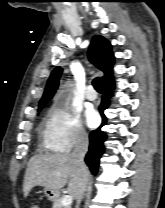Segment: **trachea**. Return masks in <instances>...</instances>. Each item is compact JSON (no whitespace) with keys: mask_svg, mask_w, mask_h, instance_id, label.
Here are the masks:
<instances>
[{"mask_svg":"<svg viewBox=\"0 0 165 208\" xmlns=\"http://www.w3.org/2000/svg\"><path fill=\"white\" fill-rule=\"evenodd\" d=\"M94 88L96 89V91L98 92H101V83H100V79L98 77L94 78L93 79V82H92Z\"/></svg>","mask_w":165,"mask_h":208,"instance_id":"obj_1","label":"trachea"}]
</instances>
